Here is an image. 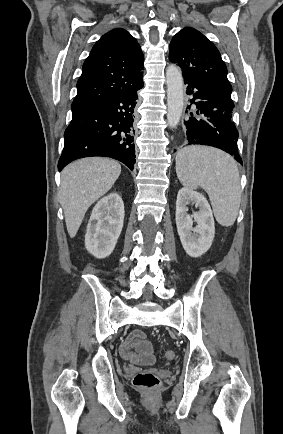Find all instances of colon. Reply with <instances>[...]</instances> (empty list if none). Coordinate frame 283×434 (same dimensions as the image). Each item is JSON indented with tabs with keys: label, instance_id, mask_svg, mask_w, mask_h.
Listing matches in <instances>:
<instances>
[{
	"label": "colon",
	"instance_id": "colon-1",
	"mask_svg": "<svg viewBox=\"0 0 283 434\" xmlns=\"http://www.w3.org/2000/svg\"><path fill=\"white\" fill-rule=\"evenodd\" d=\"M163 357L165 360L171 361L175 358V352L170 349L166 350ZM133 384L146 390H152L160 384V379L153 373L141 372L134 377Z\"/></svg>",
	"mask_w": 283,
	"mask_h": 434
}]
</instances>
